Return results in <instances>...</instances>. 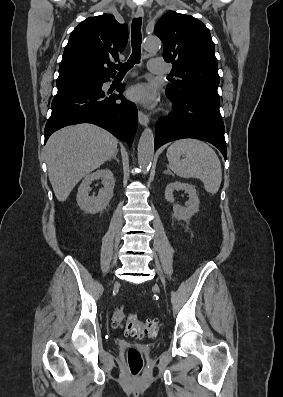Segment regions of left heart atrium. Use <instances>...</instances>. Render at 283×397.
<instances>
[{
  "instance_id": "obj_1",
  "label": "left heart atrium",
  "mask_w": 283,
  "mask_h": 397,
  "mask_svg": "<svg viewBox=\"0 0 283 397\" xmlns=\"http://www.w3.org/2000/svg\"><path fill=\"white\" fill-rule=\"evenodd\" d=\"M126 96L129 100L152 107L156 98L151 89L145 84H137L128 89Z\"/></svg>"
}]
</instances>
